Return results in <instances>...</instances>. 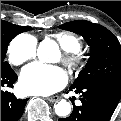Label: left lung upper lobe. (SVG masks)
Returning <instances> with one entry per match:
<instances>
[{
    "mask_svg": "<svg viewBox=\"0 0 121 121\" xmlns=\"http://www.w3.org/2000/svg\"><path fill=\"white\" fill-rule=\"evenodd\" d=\"M60 29L82 35L91 56L72 86L97 85L121 97V45L105 27L85 20L67 22Z\"/></svg>",
    "mask_w": 121,
    "mask_h": 121,
    "instance_id": "5c2ea615",
    "label": "left lung upper lobe"
}]
</instances>
